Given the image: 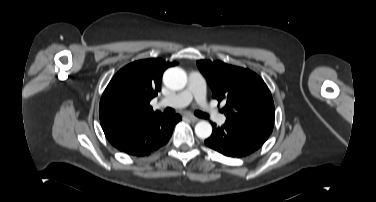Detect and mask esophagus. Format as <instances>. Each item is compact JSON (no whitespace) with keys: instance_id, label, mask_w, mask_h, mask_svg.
<instances>
[{"instance_id":"esophagus-1","label":"esophagus","mask_w":376,"mask_h":202,"mask_svg":"<svg viewBox=\"0 0 376 202\" xmlns=\"http://www.w3.org/2000/svg\"><path fill=\"white\" fill-rule=\"evenodd\" d=\"M187 118H189L192 122H197L199 119L191 114H187Z\"/></svg>"}]
</instances>
